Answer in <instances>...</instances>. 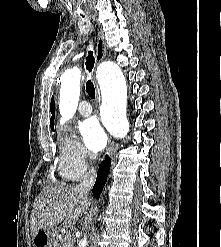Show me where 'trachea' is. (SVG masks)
<instances>
[{
    "label": "trachea",
    "mask_w": 221,
    "mask_h": 247,
    "mask_svg": "<svg viewBox=\"0 0 221 247\" xmlns=\"http://www.w3.org/2000/svg\"><path fill=\"white\" fill-rule=\"evenodd\" d=\"M94 63H95V60H94V56H93V52L92 51H89L88 52V57L86 58V69L91 72L93 67H94ZM86 92L88 93V95L94 99L95 98V87H94V84L92 83L91 80H88L87 83H86Z\"/></svg>",
    "instance_id": "3493384b"
}]
</instances>
